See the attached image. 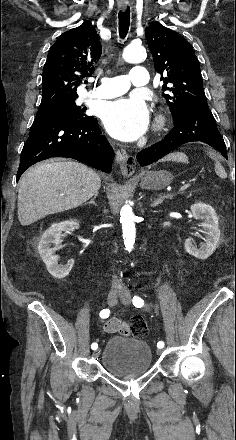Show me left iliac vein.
<instances>
[{"mask_svg":"<svg viewBox=\"0 0 236 440\" xmlns=\"http://www.w3.org/2000/svg\"><path fill=\"white\" fill-rule=\"evenodd\" d=\"M120 300H121V302H122L123 304L128 305V304L131 303V295H130L128 292H124V293L121 294V296H120ZM157 353H158V354H161V353H162V350H161V349H158V350H157Z\"/></svg>","mask_w":236,"mask_h":440,"instance_id":"1","label":"left iliac vein"}]
</instances>
